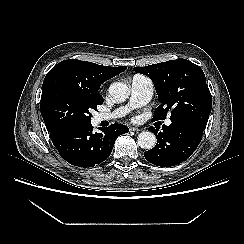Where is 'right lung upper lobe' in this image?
Here are the masks:
<instances>
[{
    "label": "right lung upper lobe",
    "mask_w": 244,
    "mask_h": 244,
    "mask_svg": "<svg viewBox=\"0 0 244 244\" xmlns=\"http://www.w3.org/2000/svg\"><path fill=\"white\" fill-rule=\"evenodd\" d=\"M127 67L102 66L76 59L64 60L46 75L42 89L49 82L58 80L75 92L94 101L103 102L98 90L103 82L120 74Z\"/></svg>",
    "instance_id": "obj_1"
}]
</instances>
